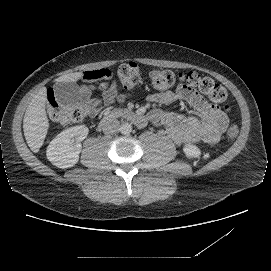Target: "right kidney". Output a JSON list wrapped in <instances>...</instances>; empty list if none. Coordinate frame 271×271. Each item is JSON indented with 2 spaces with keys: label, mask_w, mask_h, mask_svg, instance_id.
<instances>
[{
  "label": "right kidney",
  "mask_w": 271,
  "mask_h": 271,
  "mask_svg": "<svg viewBox=\"0 0 271 271\" xmlns=\"http://www.w3.org/2000/svg\"><path fill=\"white\" fill-rule=\"evenodd\" d=\"M85 125L69 127L59 133L47 148L48 159L56 166L67 168L77 163L81 152V142L86 138Z\"/></svg>",
  "instance_id": "right-kidney-1"
}]
</instances>
